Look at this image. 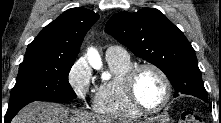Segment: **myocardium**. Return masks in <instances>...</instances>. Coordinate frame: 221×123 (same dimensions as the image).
<instances>
[{"label": "myocardium", "mask_w": 221, "mask_h": 123, "mask_svg": "<svg viewBox=\"0 0 221 123\" xmlns=\"http://www.w3.org/2000/svg\"><path fill=\"white\" fill-rule=\"evenodd\" d=\"M145 69L156 72L162 79L165 87V97L160 105L154 108L144 106L138 99L135 90V82L138 74ZM123 89L128 102L141 113H156L163 110L169 103L172 96V87L166 73L153 63H142L134 65L123 77Z\"/></svg>", "instance_id": "1"}]
</instances>
